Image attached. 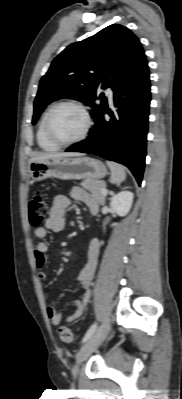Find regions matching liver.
I'll return each instance as SVG.
<instances>
[{"label": "liver", "mask_w": 182, "mask_h": 399, "mask_svg": "<svg viewBox=\"0 0 182 399\" xmlns=\"http://www.w3.org/2000/svg\"><path fill=\"white\" fill-rule=\"evenodd\" d=\"M81 154L79 153H55V154H42L37 157H32L31 162L36 161V160H44V159H49V158H61V157H77L80 156Z\"/></svg>", "instance_id": "obj_1"}]
</instances>
